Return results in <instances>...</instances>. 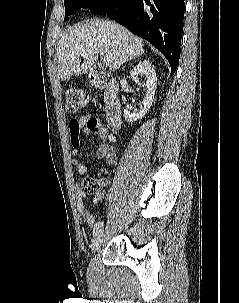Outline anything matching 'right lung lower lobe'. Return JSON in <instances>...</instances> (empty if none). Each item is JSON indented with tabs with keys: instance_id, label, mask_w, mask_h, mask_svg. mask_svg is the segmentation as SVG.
I'll use <instances>...</instances> for the list:
<instances>
[{
	"instance_id": "obj_1",
	"label": "right lung lower lobe",
	"mask_w": 239,
	"mask_h": 303,
	"mask_svg": "<svg viewBox=\"0 0 239 303\" xmlns=\"http://www.w3.org/2000/svg\"><path fill=\"white\" fill-rule=\"evenodd\" d=\"M91 12L106 13L148 40L167 58L171 75L175 73L180 57L184 0H106Z\"/></svg>"
}]
</instances>
